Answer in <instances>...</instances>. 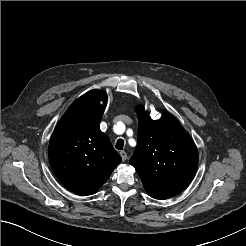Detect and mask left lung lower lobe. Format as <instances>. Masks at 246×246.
Returning <instances> with one entry per match:
<instances>
[{
    "label": "left lung lower lobe",
    "mask_w": 246,
    "mask_h": 246,
    "mask_svg": "<svg viewBox=\"0 0 246 246\" xmlns=\"http://www.w3.org/2000/svg\"><path fill=\"white\" fill-rule=\"evenodd\" d=\"M151 197L155 198V199H167L169 197L155 193V192H147Z\"/></svg>",
    "instance_id": "obj_1"
}]
</instances>
